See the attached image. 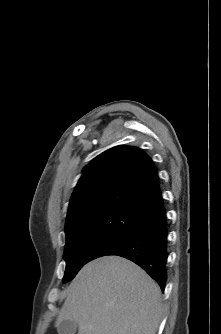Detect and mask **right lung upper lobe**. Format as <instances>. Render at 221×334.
<instances>
[{"mask_svg": "<svg viewBox=\"0 0 221 334\" xmlns=\"http://www.w3.org/2000/svg\"><path fill=\"white\" fill-rule=\"evenodd\" d=\"M160 197L158 172L150 157L136 147H113L83 169L69 203L65 233L102 213L141 215Z\"/></svg>", "mask_w": 221, "mask_h": 334, "instance_id": "cb5924a9", "label": "right lung upper lobe"}]
</instances>
